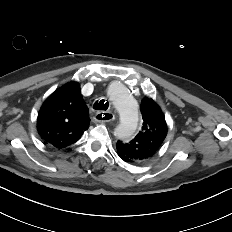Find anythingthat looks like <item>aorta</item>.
I'll return each instance as SVG.
<instances>
[{
    "mask_svg": "<svg viewBox=\"0 0 232 232\" xmlns=\"http://www.w3.org/2000/svg\"><path fill=\"white\" fill-rule=\"evenodd\" d=\"M108 96L120 117L119 124L115 129V135L121 139L131 138L136 133L139 125L137 102L120 83L109 87Z\"/></svg>",
    "mask_w": 232,
    "mask_h": 232,
    "instance_id": "1",
    "label": "aorta"
}]
</instances>
